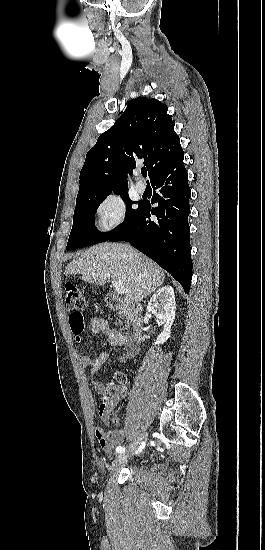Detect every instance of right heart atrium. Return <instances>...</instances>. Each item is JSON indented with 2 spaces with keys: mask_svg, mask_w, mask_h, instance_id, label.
I'll return each mask as SVG.
<instances>
[{
  "mask_svg": "<svg viewBox=\"0 0 265 550\" xmlns=\"http://www.w3.org/2000/svg\"><path fill=\"white\" fill-rule=\"evenodd\" d=\"M126 203L118 193L108 194L97 207L98 224L102 231L111 232L126 219Z\"/></svg>",
  "mask_w": 265,
  "mask_h": 550,
  "instance_id": "d8ad5b80",
  "label": "right heart atrium"
}]
</instances>
